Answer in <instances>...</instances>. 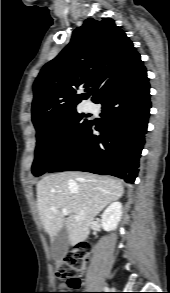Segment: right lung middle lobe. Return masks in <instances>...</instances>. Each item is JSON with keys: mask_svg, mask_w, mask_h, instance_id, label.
<instances>
[{"mask_svg": "<svg viewBox=\"0 0 170 293\" xmlns=\"http://www.w3.org/2000/svg\"><path fill=\"white\" fill-rule=\"evenodd\" d=\"M71 109L37 128V143L32 173L47 172L68 150L89 121Z\"/></svg>", "mask_w": 170, "mask_h": 293, "instance_id": "right-lung-middle-lobe-1", "label": "right lung middle lobe"}]
</instances>
